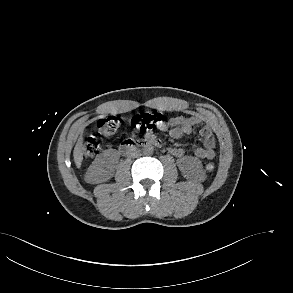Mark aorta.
<instances>
[{
  "instance_id": "762f6f07",
  "label": "aorta",
  "mask_w": 293,
  "mask_h": 293,
  "mask_svg": "<svg viewBox=\"0 0 293 293\" xmlns=\"http://www.w3.org/2000/svg\"><path fill=\"white\" fill-rule=\"evenodd\" d=\"M154 152V147L150 144H146L144 147H143V153L145 155H152Z\"/></svg>"
}]
</instances>
